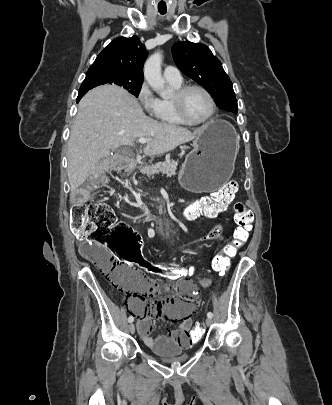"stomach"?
Returning a JSON list of instances; mask_svg holds the SVG:
<instances>
[{
    "label": "stomach",
    "instance_id": "obj_1",
    "mask_svg": "<svg viewBox=\"0 0 332 405\" xmlns=\"http://www.w3.org/2000/svg\"><path fill=\"white\" fill-rule=\"evenodd\" d=\"M179 172V181L192 192L220 189L234 171L238 136L231 124L213 119L201 128Z\"/></svg>",
    "mask_w": 332,
    "mask_h": 405
}]
</instances>
